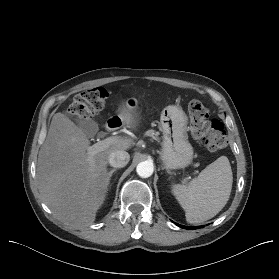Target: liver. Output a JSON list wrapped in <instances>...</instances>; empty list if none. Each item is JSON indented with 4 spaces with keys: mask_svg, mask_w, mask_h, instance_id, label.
<instances>
[{
    "mask_svg": "<svg viewBox=\"0 0 279 279\" xmlns=\"http://www.w3.org/2000/svg\"><path fill=\"white\" fill-rule=\"evenodd\" d=\"M117 112L123 126H137V106L126 101ZM132 145V139H122L90 156V141L81 128L63 113L54 114L37 162V187L43 202L70 228L91 225L106 197L110 153Z\"/></svg>",
    "mask_w": 279,
    "mask_h": 279,
    "instance_id": "obj_1",
    "label": "liver"
}]
</instances>
